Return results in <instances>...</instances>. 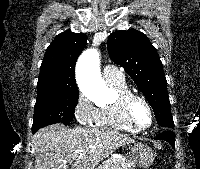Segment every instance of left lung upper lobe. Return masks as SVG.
<instances>
[{
    "label": "left lung upper lobe",
    "mask_w": 200,
    "mask_h": 169,
    "mask_svg": "<svg viewBox=\"0 0 200 169\" xmlns=\"http://www.w3.org/2000/svg\"><path fill=\"white\" fill-rule=\"evenodd\" d=\"M107 48L112 61L125 69L145 95L158 124L174 128L162 62L147 36L135 29L116 31L109 35Z\"/></svg>",
    "instance_id": "1"
}]
</instances>
